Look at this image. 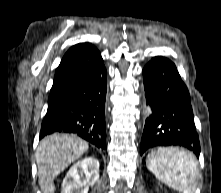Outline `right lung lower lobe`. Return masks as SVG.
<instances>
[{"label": "right lung lower lobe", "mask_w": 221, "mask_h": 193, "mask_svg": "<svg viewBox=\"0 0 221 193\" xmlns=\"http://www.w3.org/2000/svg\"><path fill=\"white\" fill-rule=\"evenodd\" d=\"M106 69L98 61L62 98L58 108L46 114L40 138L55 132L74 133L105 149Z\"/></svg>", "instance_id": "1"}]
</instances>
